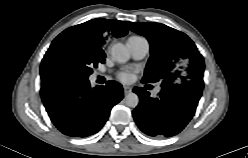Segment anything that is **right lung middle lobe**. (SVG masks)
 I'll return each mask as SVG.
<instances>
[{
	"mask_svg": "<svg viewBox=\"0 0 248 158\" xmlns=\"http://www.w3.org/2000/svg\"><path fill=\"white\" fill-rule=\"evenodd\" d=\"M105 55L90 50L71 39L53 41L42 65L46 73L59 84L88 80L92 68L104 63Z\"/></svg>",
	"mask_w": 248,
	"mask_h": 158,
	"instance_id": "1",
	"label": "right lung middle lobe"
}]
</instances>
